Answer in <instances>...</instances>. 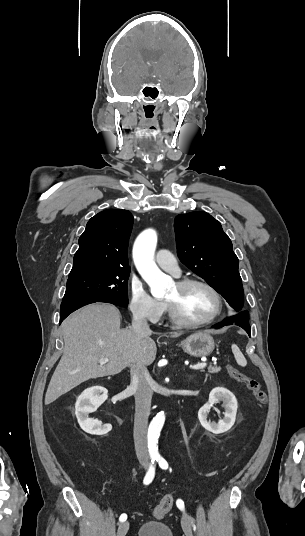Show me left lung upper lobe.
<instances>
[{
	"instance_id": "1",
	"label": "left lung upper lobe",
	"mask_w": 305,
	"mask_h": 536,
	"mask_svg": "<svg viewBox=\"0 0 305 536\" xmlns=\"http://www.w3.org/2000/svg\"><path fill=\"white\" fill-rule=\"evenodd\" d=\"M178 257L194 273L219 292L235 310L244 304L239 260L219 221L206 212L175 218Z\"/></svg>"
}]
</instances>
